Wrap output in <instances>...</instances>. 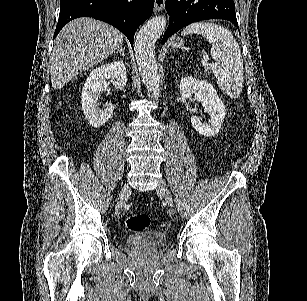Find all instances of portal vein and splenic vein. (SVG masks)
<instances>
[{"instance_id": "1", "label": "portal vein and splenic vein", "mask_w": 307, "mask_h": 301, "mask_svg": "<svg viewBox=\"0 0 307 301\" xmlns=\"http://www.w3.org/2000/svg\"><path fill=\"white\" fill-rule=\"evenodd\" d=\"M206 64V68H216L217 66V62H215V64H210V62H205Z\"/></svg>"}]
</instances>
